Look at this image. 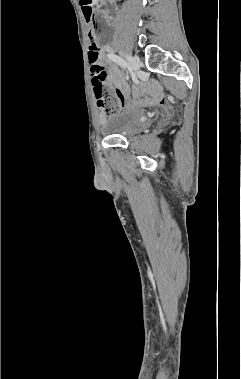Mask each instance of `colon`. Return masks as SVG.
Returning <instances> with one entry per match:
<instances>
[{
	"instance_id": "colon-1",
	"label": "colon",
	"mask_w": 241,
	"mask_h": 379,
	"mask_svg": "<svg viewBox=\"0 0 241 379\" xmlns=\"http://www.w3.org/2000/svg\"><path fill=\"white\" fill-rule=\"evenodd\" d=\"M80 3L86 20L92 22L94 18L92 0H81ZM88 38L90 41L88 56L92 67L91 70H88L87 75L90 77V82H93L98 106L106 116H109L121 110L122 102L117 95H114L104 86L106 72L105 68L97 63L100 50L96 43V32L94 28L89 30Z\"/></svg>"
}]
</instances>
